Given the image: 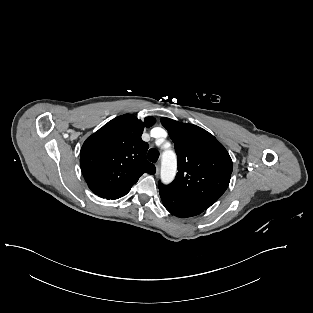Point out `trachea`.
<instances>
[{
    "mask_svg": "<svg viewBox=\"0 0 313 313\" xmlns=\"http://www.w3.org/2000/svg\"><path fill=\"white\" fill-rule=\"evenodd\" d=\"M147 157L149 161L155 163L159 158V152L156 149L152 148L149 150Z\"/></svg>",
    "mask_w": 313,
    "mask_h": 313,
    "instance_id": "obj_1",
    "label": "trachea"
}]
</instances>
